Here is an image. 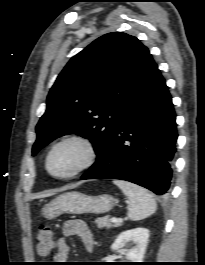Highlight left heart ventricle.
I'll return each mask as SVG.
<instances>
[{
  "instance_id": "left-heart-ventricle-1",
  "label": "left heart ventricle",
  "mask_w": 205,
  "mask_h": 265,
  "mask_svg": "<svg viewBox=\"0 0 205 265\" xmlns=\"http://www.w3.org/2000/svg\"><path fill=\"white\" fill-rule=\"evenodd\" d=\"M83 148L74 142L60 145L52 153L49 167L53 173L67 174L73 171L83 160Z\"/></svg>"
}]
</instances>
